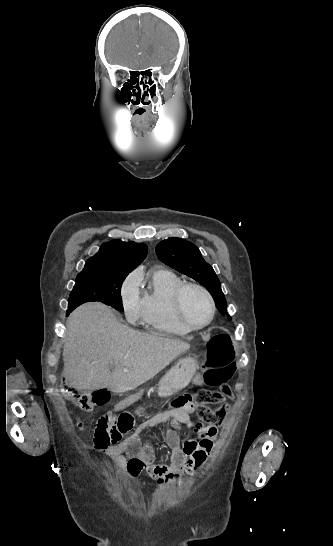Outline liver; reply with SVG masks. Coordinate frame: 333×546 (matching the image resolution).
Listing matches in <instances>:
<instances>
[{"label":"liver","mask_w":333,"mask_h":546,"mask_svg":"<svg viewBox=\"0 0 333 546\" xmlns=\"http://www.w3.org/2000/svg\"><path fill=\"white\" fill-rule=\"evenodd\" d=\"M189 348V343L178 339L135 331L121 324L110 307L89 302L67 320L64 376L77 390L108 387L125 393L153 378Z\"/></svg>","instance_id":"liver-1"}]
</instances>
